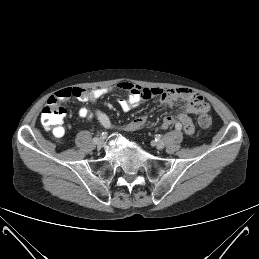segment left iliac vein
I'll return each mask as SVG.
<instances>
[{
    "instance_id": "1",
    "label": "left iliac vein",
    "mask_w": 259,
    "mask_h": 259,
    "mask_svg": "<svg viewBox=\"0 0 259 259\" xmlns=\"http://www.w3.org/2000/svg\"><path fill=\"white\" fill-rule=\"evenodd\" d=\"M165 146V143L163 141H158L155 143V147L158 149V150H161L163 149Z\"/></svg>"
}]
</instances>
